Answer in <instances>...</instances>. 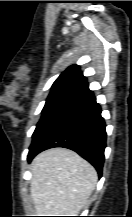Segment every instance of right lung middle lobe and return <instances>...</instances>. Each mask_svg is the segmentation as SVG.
I'll return each mask as SVG.
<instances>
[{
	"label": "right lung middle lobe",
	"mask_w": 132,
	"mask_h": 217,
	"mask_svg": "<svg viewBox=\"0 0 132 217\" xmlns=\"http://www.w3.org/2000/svg\"><path fill=\"white\" fill-rule=\"evenodd\" d=\"M75 99L76 97L71 94L50 93L42 110V117L33 133L32 144L36 142V140L44 132L47 125L55 118V116Z\"/></svg>",
	"instance_id": "obj_1"
}]
</instances>
